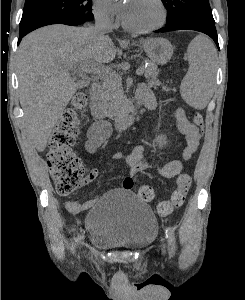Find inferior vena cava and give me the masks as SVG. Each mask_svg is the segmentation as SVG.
Instances as JSON below:
<instances>
[{"label":"inferior vena cava","mask_w":245,"mask_h":300,"mask_svg":"<svg viewBox=\"0 0 245 300\" xmlns=\"http://www.w3.org/2000/svg\"><path fill=\"white\" fill-rule=\"evenodd\" d=\"M94 31L101 39L108 37L106 34L112 31V23L107 15L96 17Z\"/></svg>","instance_id":"obj_1"}]
</instances>
